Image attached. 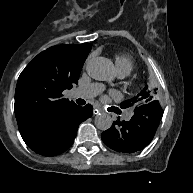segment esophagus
Instances as JSON below:
<instances>
[{"mask_svg":"<svg viewBox=\"0 0 193 193\" xmlns=\"http://www.w3.org/2000/svg\"><path fill=\"white\" fill-rule=\"evenodd\" d=\"M100 109H98V108H94V110H93V114L94 115H98L99 113H100Z\"/></svg>","mask_w":193,"mask_h":193,"instance_id":"obj_1","label":"esophagus"}]
</instances>
